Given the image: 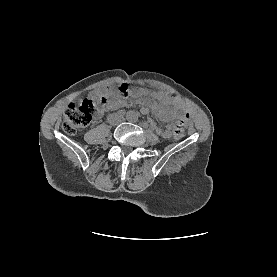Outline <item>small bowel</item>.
Segmentation results:
<instances>
[{
    "label": "small bowel",
    "instance_id": "small-bowel-1",
    "mask_svg": "<svg viewBox=\"0 0 277 277\" xmlns=\"http://www.w3.org/2000/svg\"><path fill=\"white\" fill-rule=\"evenodd\" d=\"M131 91L133 88L131 87ZM102 94H105L109 97V103L106 107L100 108L96 113V119H101L104 113L110 109L120 108L125 105L124 100H122L117 91L103 88L100 90ZM136 95L144 97L142 102L145 106L141 109L143 115H147L150 109L159 116L163 121L169 122L174 118H180L184 121L189 120V114L187 111L182 109L179 105L177 97L170 92H165L161 90L149 91L147 89H140L135 92ZM151 95L152 99L148 96ZM151 126L154 128L157 134L163 137H169L171 134V127L167 129H162L157 126L154 122H151Z\"/></svg>",
    "mask_w": 277,
    "mask_h": 277
}]
</instances>
